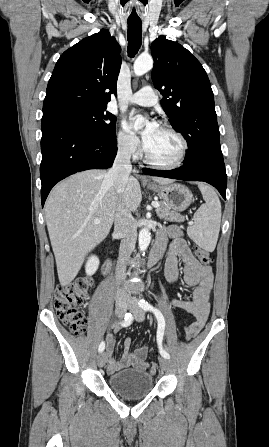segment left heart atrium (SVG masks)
I'll return each instance as SVG.
<instances>
[{
    "mask_svg": "<svg viewBox=\"0 0 269 447\" xmlns=\"http://www.w3.org/2000/svg\"><path fill=\"white\" fill-rule=\"evenodd\" d=\"M131 121H130V127H132V120H133V117H131V119H130ZM159 127V125H158V123L157 122H152V124H151V126H150V131H153V130H155L156 128H158Z\"/></svg>",
    "mask_w": 269,
    "mask_h": 447,
    "instance_id": "left-heart-atrium-1",
    "label": "left heart atrium"
}]
</instances>
